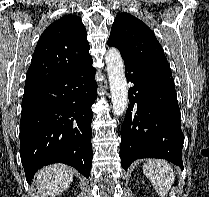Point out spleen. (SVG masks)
Masks as SVG:
<instances>
[{"mask_svg": "<svg viewBox=\"0 0 209 197\" xmlns=\"http://www.w3.org/2000/svg\"><path fill=\"white\" fill-rule=\"evenodd\" d=\"M143 172L160 197H165L175 180L173 168L165 160H148Z\"/></svg>", "mask_w": 209, "mask_h": 197, "instance_id": "1", "label": "spleen"}]
</instances>
